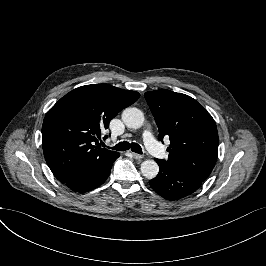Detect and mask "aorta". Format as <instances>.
Listing matches in <instances>:
<instances>
[{
  "instance_id": "aorta-1",
  "label": "aorta",
  "mask_w": 266,
  "mask_h": 266,
  "mask_svg": "<svg viewBox=\"0 0 266 266\" xmlns=\"http://www.w3.org/2000/svg\"><path fill=\"white\" fill-rule=\"evenodd\" d=\"M121 119L128 128L138 129L143 124L144 115L140 109L128 107L123 110ZM141 173L147 179H154L159 173V166L153 160H146L141 164Z\"/></svg>"
}]
</instances>
